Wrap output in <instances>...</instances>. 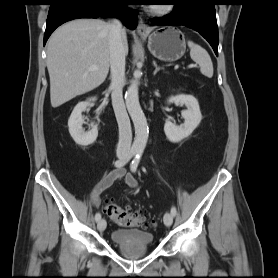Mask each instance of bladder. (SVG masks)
I'll list each match as a JSON object with an SVG mask.
<instances>
[{
  "instance_id": "obj_1",
  "label": "bladder",
  "mask_w": 278,
  "mask_h": 278,
  "mask_svg": "<svg viewBox=\"0 0 278 278\" xmlns=\"http://www.w3.org/2000/svg\"><path fill=\"white\" fill-rule=\"evenodd\" d=\"M111 241L122 247H148L154 241V235L142 229H117L111 233Z\"/></svg>"
}]
</instances>
